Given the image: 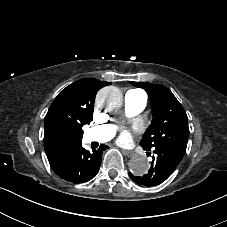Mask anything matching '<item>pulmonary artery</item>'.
Instances as JSON below:
<instances>
[{"label": "pulmonary artery", "mask_w": 227, "mask_h": 227, "mask_svg": "<svg viewBox=\"0 0 227 227\" xmlns=\"http://www.w3.org/2000/svg\"><path fill=\"white\" fill-rule=\"evenodd\" d=\"M150 93L146 87L140 86L130 89L124 96L125 109L130 113L142 111L147 104ZM115 133V126L105 124L93 126L85 131L84 140L88 144L94 142L104 143L109 141Z\"/></svg>", "instance_id": "1"}]
</instances>
